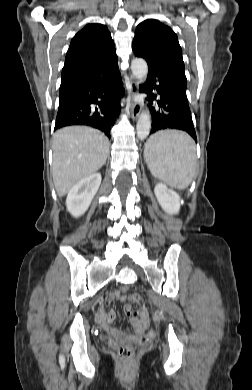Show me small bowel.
I'll use <instances>...</instances> for the list:
<instances>
[{"label":"small bowel","mask_w":252,"mask_h":390,"mask_svg":"<svg viewBox=\"0 0 252 390\" xmlns=\"http://www.w3.org/2000/svg\"><path fill=\"white\" fill-rule=\"evenodd\" d=\"M116 297L122 301L125 300V296L123 294L120 292H114L110 293L106 297V304H110ZM137 303L139 304V308L136 313L132 311L131 306L128 304L125 305L124 310L129 317L134 333L137 336H142L145 334L149 326V313L147 307L141 302V300L137 301ZM99 318L102 323L109 324L115 319V312L102 308L99 312Z\"/></svg>","instance_id":"c3829d8e"}]
</instances>
